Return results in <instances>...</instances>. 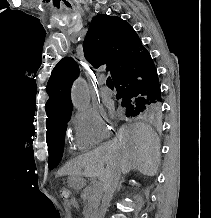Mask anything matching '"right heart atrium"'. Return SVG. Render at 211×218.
<instances>
[{
	"label": "right heart atrium",
	"mask_w": 211,
	"mask_h": 218,
	"mask_svg": "<svg viewBox=\"0 0 211 218\" xmlns=\"http://www.w3.org/2000/svg\"><path fill=\"white\" fill-rule=\"evenodd\" d=\"M76 144L87 149L99 144L107 137V123L98 110L86 108L75 113L71 118Z\"/></svg>",
	"instance_id": "right-heart-atrium-1"
}]
</instances>
